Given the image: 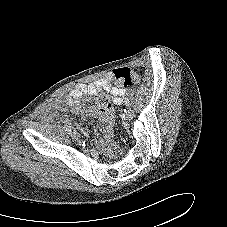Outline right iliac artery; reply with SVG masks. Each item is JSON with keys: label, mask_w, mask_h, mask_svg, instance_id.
<instances>
[{"label": "right iliac artery", "mask_w": 227, "mask_h": 227, "mask_svg": "<svg viewBox=\"0 0 227 227\" xmlns=\"http://www.w3.org/2000/svg\"><path fill=\"white\" fill-rule=\"evenodd\" d=\"M64 128L69 134L71 133V129L67 125H64Z\"/></svg>", "instance_id": "right-iliac-artery-1"}]
</instances>
